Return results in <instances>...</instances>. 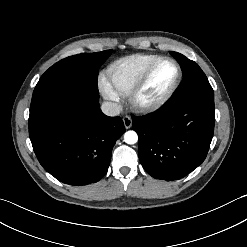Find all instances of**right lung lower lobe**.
I'll return each mask as SVG.
<instances>
[{"mask_svg":"<svg viewBox=\"0 0 247 247\" xmlns=\"http://www.w3.org/2000/svg\"><path fill=\"white\" fill-rule=\"evenodd\" d=\"M125 132L120 117H108L98 98L65 94L30 112L29 136L42 167L66 184L99 181L107 172L112 148Z\"/></svg>","mask_w":247,"mask_h":247,"instance_id":"1","label":"right lung lower lobe"}]
</instances>
